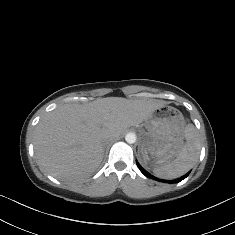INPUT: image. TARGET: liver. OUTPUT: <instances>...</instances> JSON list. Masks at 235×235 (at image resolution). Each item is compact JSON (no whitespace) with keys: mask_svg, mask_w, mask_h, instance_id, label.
I'll return each mask as SVG.
<instances>
[{"mask_svg":"<svg viewBox=\"0 0 235 235\" xmlns=\"http://www.w3.org/2000/svg\"><path fill=\"white\" fill-rule=\"evenodd\" d=\"M163 101L104 98L88 105L66 104L41 118L33 133L37 164L61 181L89 176L104 156V142L140 126Z\"/></svg>","mask_w":235,"mask_h":235,"instance_id":"6515ba94","label":"liver"}]
</instances>
